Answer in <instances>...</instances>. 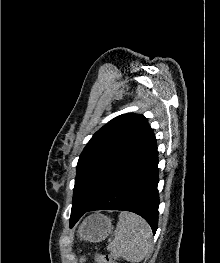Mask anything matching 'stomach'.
Listing matches in <instances>:
<instances>
[{"mask_svg":"<svg viewBox=\"0 0 220 263\" xmlns=\"http://www.w3.org/2000/svg\"><path fill=\"white\" fill-rule=\"evenodd\" d=\"M112 230L111 219L102 214H93L83 220L78 229L80 240L100 242L107 238Z\"/></svg>","mask_w":220,"mask_h":263,"instance_id":"1","label":"stomach"}]
</instances>
